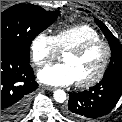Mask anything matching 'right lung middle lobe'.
I'll use <instances>...</instances> for the list:
<instances>
[{"label": "right lung middle lobe", "instance_id": "obj_1", "mask_svg": "<svg viewBox=\"0 0 122 122\" xmlns=\"http://www.w3.org/2000/svg\"><path fill=\"white\" fill-rule=\"evenodd\" d=\"M60 15V11H45L42 7L17 4L1 13V47L16 50L29 59L32 40Z\"/></svg>", "mask_w": 122, "mask_h": 122}]
</instances>
